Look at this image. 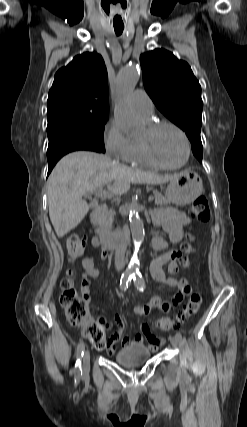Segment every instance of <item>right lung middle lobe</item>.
Instances as JSON below:
<instances>
[{"label": "right lung middle lobe", "instance_id": "right-lung-middle-lobe-1", "mask_svg": "<svg viewBox=\"0 0 247 427\" xmlns=\"http://www.w3.org/2000/svg\"><path fill=\"white\" fill-rule=\"evenodd\" d=\"M109 109L64 108L47 114L48 139L65 136L86 141L105 152L103 132Z\"/></svg>", "mask_w": 247, "mask_h": 427}]
</instances>
